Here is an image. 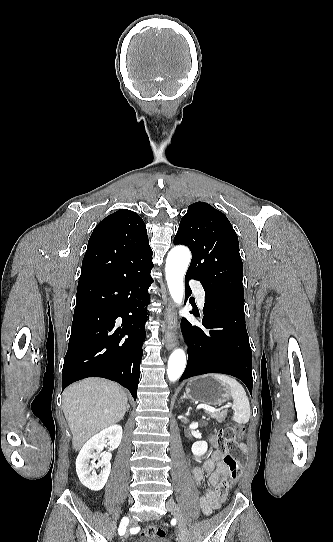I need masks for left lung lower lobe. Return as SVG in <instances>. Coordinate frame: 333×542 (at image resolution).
<instances>
[{"mask_svg":"<svg viewBox=\"0 0 333 542\" xmlns=\"http://www.w3.org/2000/svg\"><path fill=\"white\" fill-rule=\"evenodd\" d=\"M185 276L186 300L192 293ZM201 329L186 318L181 330L189 339L188 361L180 381L206 373L229 374L240 379L252 395V352L245 325L244 301L206 295ZM193 314L198 316V313Z\"/></svg>","mask_w":333,"mask_h":542,"instance_id":"1","label":"left lung lower lobe"}]
</instances>
